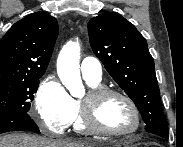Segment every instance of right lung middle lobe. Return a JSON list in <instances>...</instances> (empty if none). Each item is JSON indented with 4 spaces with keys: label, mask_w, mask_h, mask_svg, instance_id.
Masks as SVG:
<instances>
[{
    "label": "right lung middle lobe",
    "mask_w": 183,
    "mask_h": 147,
    "mask_svg": "<svg viewBox=\"0 0 183 147\" xmlns=\"http://www.w3.org/2000/svg\"><path fill=\"white\" fill-rule=\"evenodd\" d=\"M38 78L0 82V116L27 113L39 85Z\"/></svg>",
    "instance_id": "1"
}]
</instances>
